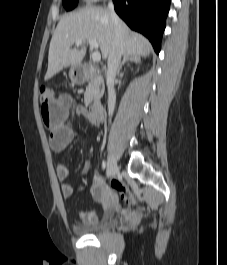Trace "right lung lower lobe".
I'll list each match as a JSON object with an SVG mask.
<instances>
[{
	"label": "right lung lower lobe",
	"instance_id": "obj_1",
	"mask_svg": "<svg viewBox=\"0 0 227 265\" xmlns=\"http://www.w3.org/2000/svg\"><path fill=\"white\" fill-rule=\"evenodd\" d=\"M171 0H113L116 13L135 31L144 34L159 53Z\"/></svg>",
	"mask_w": 227,
	"mask_h": 265
}]
</instances>
